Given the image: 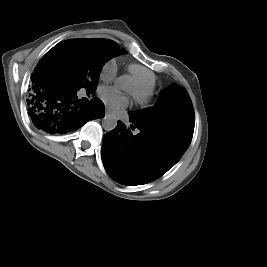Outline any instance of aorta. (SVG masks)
Returning <instances> with one entry per match:
<instances>
[{"mask_svg": "<svg viewBox=\"0 0 267 267\" xmlns=\"http://www.w3.org/2000/svg\"><path fill=\"white\" fill-rule=\"evenodd\" d=\"M129 76H121L117 79L116 85L121 90L127 89V81ZM103 128L107 131L113 130L117 125V119L112 115H106L102 120Z\"/></svg>", "mask_w": 267, "mask_h": 267, "instance_id": "1", "label": "aorta"}]
</instances>
